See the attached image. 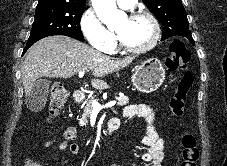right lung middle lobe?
Listing matches in <instances>:
<instances>
[{"instance_id":"obj_1","label":"right lung middle lobe","mask_w":227,"mask_h":166,"mask_svg":"<svg viewBox=\"0 0 227 166\" xmlns=\"http://www.w3.org/2000/svg\"><path fill=\"white\" fill-rule=\"evenodd\" d=\"M84 8L72 6H41L36 8L35 20L27 43L51 35H65L83 41L80 18Z\"/></svg>"}]
</instances>
